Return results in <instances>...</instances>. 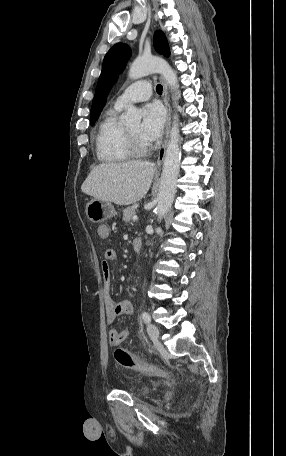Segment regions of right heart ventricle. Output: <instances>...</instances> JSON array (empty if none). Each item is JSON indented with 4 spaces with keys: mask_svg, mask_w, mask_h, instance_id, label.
Masks as SVG:
<instances>
[{
    "mask_svg": "<svg viewBox=\"0 0 286 456\" xmlns=\"http://www.w3.org/2000/svg\"><path fill=\"white\" fill-rule=\"evenodd\" d=\"M120 109L116 106L109 109L98 128L95 141L96 154L104 163H121L131 158L127 148L126 128L118 121Z\"/></svg>",
    "mask_w": 286,
    "mask_h": 456,
    "instance_id": "e07e8e85",
    "label": "right heart ventricle"
}]
</instances>
